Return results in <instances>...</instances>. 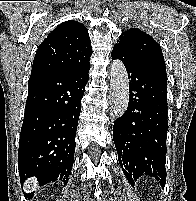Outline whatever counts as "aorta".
I'll return each mask as SVG.
<instances>
[{
	"instance_id": "aorta-1",
	"label": "aorta",
	"mask_w": 196,
	"mask_h": 201,
	"mask_svg": "<svg viewBox=\"0 0 196 201\" xmlns=\"http://www.w3.org/2000/svg\"><path fill=\"white\" fill-rule=\"evenodd\" d=\"M110 77L112 110L116 117H121L127 110L129 102L128 75L122 61H113Z\"/></svg>"
}]
</instances>
